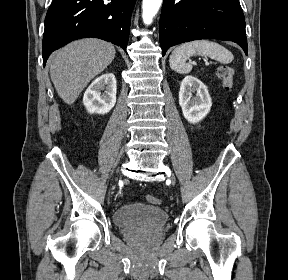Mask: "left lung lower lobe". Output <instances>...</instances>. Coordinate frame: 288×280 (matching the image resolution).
<instances>
[{
    "label": "left lung lower lobe",
    "instance_id": "0a47b994",
    "mask_svg": "<svg viewBox=\"0 0 288 280\" xmlns=\"http://www.w3.org/2000/svg\"><path fill=\"white\" fill-rule=\"evenodd\" d=\"M199 39L233 41L247 54L239 0H164L160 17L163 56L174 45Z\"/></svg>",
    "mask_w": 288,
    "mask_h": 280
}]
</instances>
